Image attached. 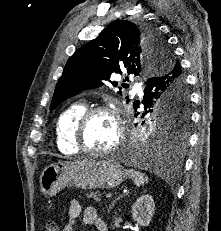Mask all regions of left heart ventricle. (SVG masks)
<instances>
[{"label": "left heart ventricle", "instance_id": "obj_1", "mask_svg": "<svg viewBox=\"0 0 221 231\" xmlns=\"http://www.w3.org/2000/svg\"><path fill=\"white\" fill-rule=\"evenodd\" d=\"M117 137V130L112 117L106 113L94 115L85 129L86 147L94 151L110 148Z\"/></svg>", "mask_w": 221, "mask_h": 231}]
</instances>
